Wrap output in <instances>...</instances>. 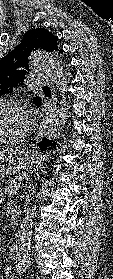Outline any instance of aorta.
I'll return each mask as SVG.
<instances>
[{
    "label": "aorta",
    "mask_w": 113,
    "mask_h": 279,
    "mask_svg": "<svg viewBox=\"0 0 113 279\" xmlns=\"http://www.w3.org/2000/svg\"><path fill=\"white\" fill-rule=\"evenodd\" d=\"M30 65L48 74L59 90L60 108L44 121L42 135L48 140H54L61 135L67 119L66 93L67 80L61 63L50 53L43 50H34L29 56ZM36 205L29 208L20 224L16 236V268L24 269L30 265V242L34 220L36 218Z\"/></svg>",
    "instance_id": "obj_1"
}]
</instances>
